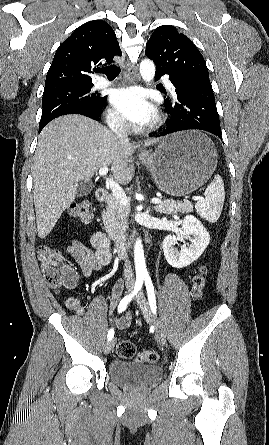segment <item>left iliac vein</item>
Returning a JSON list of instances; mask_svg holds the SVG:
<instances>
[{"label":"left iliac vein","mask_w":269,"mask_h":445,"mask_svg":"<svg viewBox=\"0 0 269 445\" xmlns=\"http://www.w3.org/2000/svg\"><path fill=\"white\" fill-rule=\"evenodd\" d=\"M136 302L139 305L142 314L144 316V318L148 321L153 323L154 327H155V336L157 341L161 344V345H165L166 343V334H165V330L164 327L161 323V321L152 314L149 305L147 303V300L145 299L143 293H140L137 297H136Z\"/></svg>","instance_id":"obj_1"}]
</instances>
